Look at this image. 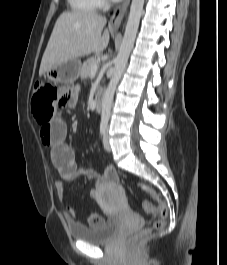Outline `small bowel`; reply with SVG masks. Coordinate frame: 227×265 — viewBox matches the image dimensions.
<instances>
[{
  "mask_svg": "<svg viewBox=\"0 0 227 265\" xmlns=\"http://www.w3.org/2000/svg\"><path fill=\"white\" fill-rule=\"evenodd\" d=\"M66 86H73V81H66ZM79 87L64 89L62 95L64 99H59L58 108H73L78 100ZM41 141L50 147L51 161L60 174V180L56 182V192L60 200L66 199L64 182L72 181L78 177H85L94 181V187L90 191V196H98L100 188L104 184H114L118 175L114 168L107 167L103 174L92 168H79L75 161V154L71 146L66 142L67 126L60 117L52 118L48 125L41 127ZM66 216L70 221H75L76 212L71 206L66 208ZM103 218L98 214H91L88 217L90 226L98 225Z\"/></svg>",
  "mask_w": 227,
  "mask_h": 265,
  "instance_id": "c3829d8e",
  "label": "small bowel"
}]
</instances>
